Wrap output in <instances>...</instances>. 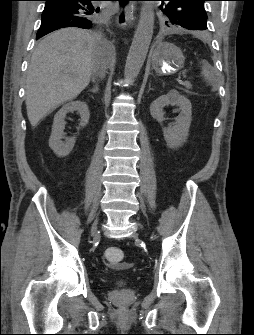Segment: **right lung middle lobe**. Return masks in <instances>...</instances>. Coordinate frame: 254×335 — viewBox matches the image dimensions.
Here are the masks:
<instances>
[{
    "mask_svg": "<svg viewBox=\"0 0 254 335\" xmlns=\"http://www.w3.org/2000/svg\"><path fill=\"white\" fill-rule=\"evenodd\" d=\"M99 10H100V8L95 9V11H94V13H93V15L91 17L93 20H95V19L98 18V14L97 13L99 12Z\"/></svg>",
    "mask_w": 254,
    "mask_h": 335,
    "instance_id": "1",
    "label": "right lung middle lobe"
}]
</instances>
